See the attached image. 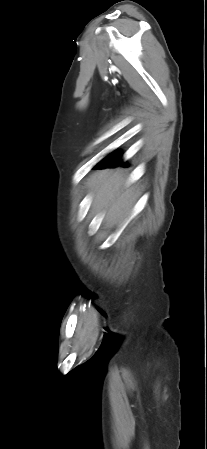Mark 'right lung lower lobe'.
I'll use <instances>...</instances> for the list:
<instances>
[{
  "label": "right lung lower lobe",
  "mask_w": 207,
  "mask_h": 449,
  "mask_svg": "<svg viewBox=\"0 0 207 449\" xmlns=\"http://www.w3.org/2000/svg\"><path fill=\"white\" fill-rule=\"evenodd\" d=\"M126 165V163H122L120 156H116L114 154L108 155L104 160H102L95 168H104L108 166H117V165Z\"/></svg>",
  "instance_id": "right-lung-lower-lobe-1"
}]
</instances>
